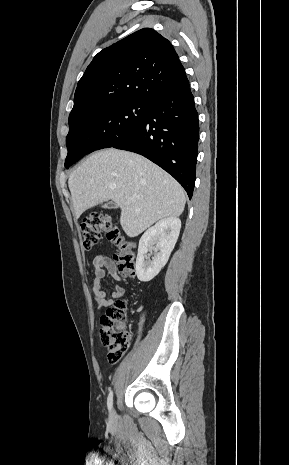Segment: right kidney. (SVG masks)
<instances>
[{
  "label": "right kidney",
  "mask_w": 289,
  "mask_h": 465,
  "mask_svg": "<svg viewBox=\"0 0 289 465\" xmlns=\"http://www.w3.org/2000/svg\"><path fill=\"white\" fill-rule=\"evenodd\" d=\"M180 228L179 218L168 217L158 221L142 235L136 258V274L140 281L152 280L165 266L177 242ZM153 250L155 253L151 261L147 253L152 254Z\"/></svg>",
  "instance_id": "ca27d5eb"
}]
</instances>
